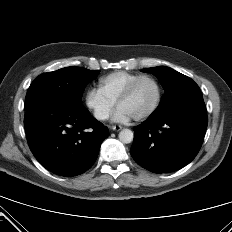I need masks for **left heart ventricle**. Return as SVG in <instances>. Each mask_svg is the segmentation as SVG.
Returning a JSON list of instances; mask_svg holds the SVG:
<instances>
[{
  "label": "left heart ventricle",
  "instance_id": "left-heart-ventricle-1",
  "mask_svg": "<svg viewBox=\"0 0 232 232\" xmlns=\"http://www.w3.org/2000/svg\"><path fill=\"white\" fill-rule=\"evenodd\" d=\"M156 87L150 80L141 81L133 95L123 102L120 107L126 110L131 116L137 117L147 112L155 102Z\"/></svg>",
  "mask_w": 232,
  "mask_h": 232
}]
</instances>
